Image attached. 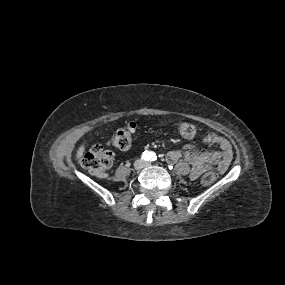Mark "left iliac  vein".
I'll list each match as a JSON object with an SVG mask.
<instances>
[{"label": "left iliac vein", "mask_w": 285, "mask_h": 285, "mask_svg": "<svg viewBox=\"0 0 285 285\" xmlns=\"http://www.w3.org/2000/svg\"><path fill=\"white\" fill-rule=\"evenodd\" d=\"M149 165H150V163H149V162H146V163H145V166H149Z\"/></svg>", "instance_id": "4c4485c4"}]
</instances>
